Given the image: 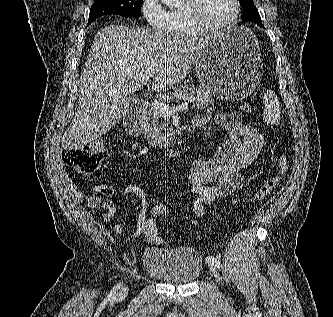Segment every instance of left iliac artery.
Instances as JSON below:
<instances>
[{
    "instance_id": "44dca946",
    "label": "left iliac artery",
    "mask_w": 333,
    "mask_h": 317,
    "mask_svg": "<svg viewBox=\"0 0 333 317\" xmlns=\"http://www.w3.org/2000/svg\"><path fill=\"white\" fill-rule=\"evenodd\" d=\"M206 261L209 263V264H215L218 268L221 267V262L218 258H215V257H212V256H208L206 257Z\"/></svg>"
}]
</instances>
